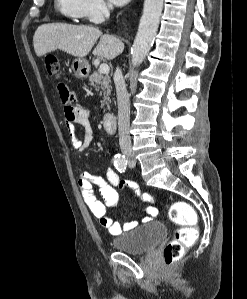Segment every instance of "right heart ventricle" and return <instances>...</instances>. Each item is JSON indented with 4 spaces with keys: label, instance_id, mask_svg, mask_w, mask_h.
<instances>
[{
    "label": "right heart ventricle",
    "instance_id": "e07e8e85",
    "mask_svg": "<svg viewBox=\"0 0 247 299\" xmlns=\"http://www.w3.org/2000/svg\"><path fill=\"white\" fill-rule=\"evenodd\" d=\"M55 7L66 18L71 20L82 18L80 0H55Z\"/></svg>",
    "mask_w": 247,
    "mask_h": 299
}]
</instances>
